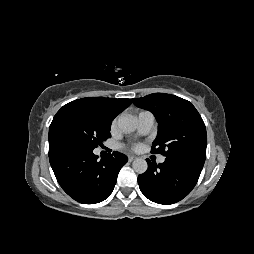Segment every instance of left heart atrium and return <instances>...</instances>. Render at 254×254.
Listing matches in <instances>:
<instances>
[{
    "instance_id": "obj_1",
    "label": "left heart atrium",
    "mask_w": 254,
    "mask_h": 254,
    "mask_svg": "<svg viewBox=\"0 0 254 254\" xmlns=\"http://www.w3.org/2000/svg\"><path fill=\"white\" fill-rule=\"evenodd\" d=\"M133 148H134L135 150H137V149L139 148V145H135V146H133Z\"/></svg>"
}]
</instances>
